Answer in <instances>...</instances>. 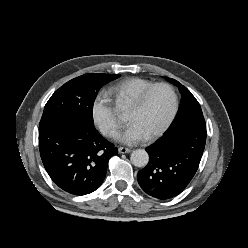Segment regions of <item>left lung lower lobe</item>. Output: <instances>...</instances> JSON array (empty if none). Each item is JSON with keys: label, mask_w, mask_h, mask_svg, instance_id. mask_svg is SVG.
<instances>
[{"label": "left lung lower lobe", "mask_w": 248, "mask_h": 248, "mask_svg": "<svg viewBox=\"0 0 248 248\" xmlns=\"http://www.w3.org/2000/svg\"><path fill=\"white\" fill-rule=\"evenodd\" d=\"M206 135L205 128L186 126L166 133L147 147L149 162L137 176L140 187L161 200L180 194L198 169Z\"/></svg>", "instance_id": "1"}]
</instances>
